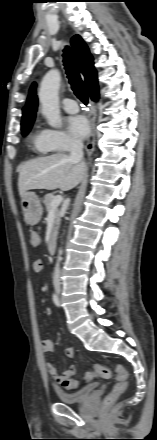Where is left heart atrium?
Segmentation results:
<instances>
[{
    "instance_id": "39dd6f15",
    "label": "left heart atrium",
    "mask_w": 157,
    "mask_h": 440,
    "mask_svg": "<svg viewBox=\"0 0 157 440\" xmlns=\"http://www.w3.org/2000/svg\"><path fill=\"white\" fill-rule=\"evenodd\" d=\"M68 131L77 139H85L90 134V126L83 116H70L66 119Z\"/></svg>"
}]
</instances>
